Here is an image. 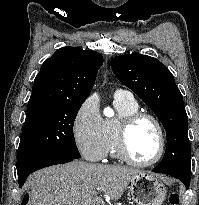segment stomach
I'll list each match as a JSON object with an SVG mask.
<instances>
[{
	"label": "stomach",
	"instance_id": "obj_1",
	"mask_svg": "<svg viewBox=\"0 0 199 205\" xmlns=\"http://www.w3.org/2000/svg\"><path fill=\"white\" fill-rule=\"evenodd\" d=\"M129 193L137 205H161L166 198L167 190L154 176L141 173L132 178Z\"/></svg>",
	"mask_w": 199,
	"mask_h": 205
}]
</instances>
